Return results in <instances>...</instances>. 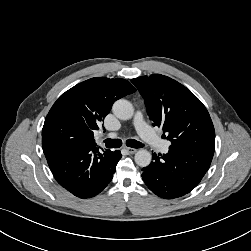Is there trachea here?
<instances>
[{
    "mask_svg": "<svg viewBox=\"0 0 251 251\" xmlns=\"http://www.w3.org/2000/svg\"><path fill=\"white\" fill-rule=\"evenodd\" d=\"M105 146L107 148H119L122 145V141L120 139H106L104 140ZM126 145L128 147L132 148H141L143 147V144L139 141H136L134 139H128L126 140Z\"/></svg>",
    "mask_w": 251,
    "mask_h": 251,
    "instance_id": "3493384b",
    "label": "trachea"
}]
</instances>
